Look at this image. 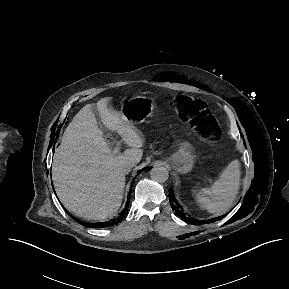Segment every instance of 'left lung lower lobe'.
<instances>
[{
    "label": "left lung lower lobe",
    "instance_id": "left-lung-lower-lobe-1",
    "mask_svg": "<svg viewBox=\"0 0 289 289\" xmlns=\"http://www.w3.org/2000/svg\"><path fill=\"white\" fill-rule=\"evenodd\" d=\"M169 201H170V205L171 207L175 210V213L182 218V220L186 221L187 223L190 224H206V223H211V222H215L217 220H220L221 218H223L224 216H220L217 218H213V219H209V220H201V221H197L196 219H190L188 217L185 216V214L182 211V207L179 205V203L177 202V200L174 197V194L171 192V189H169Z\"/></svg>",
    "mask_w": 289,
    "mask_h": 289
}]
</instances>
